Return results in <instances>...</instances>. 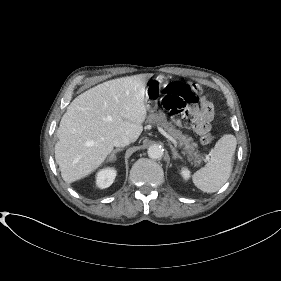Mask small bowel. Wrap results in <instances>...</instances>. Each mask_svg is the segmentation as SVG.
<instances>
[{
	"label": "small bowel",
	"instance_id": "c3829d8e",
	"mask_svg": "<svg viewBox=\"0 0 281 281\" xmlns=\"http://www.w3.org/2000/svg\"><path fill=\"white\" fill-rule=\"evenodd\" d=\"M195 119V130L198 134H204L210 129V122L213 119L214 111L210 101L205 97L200 100V107L192 110Z\"/></svg>",
	"mask_w": 281,
	"mask_h": 281
}]
</instances>
